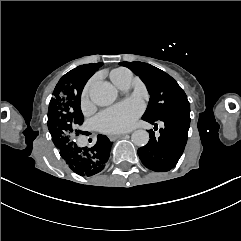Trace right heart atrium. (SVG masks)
I'll return each mask as SVG.
<instances>
[{
    "label": "right heart atrium",
    "instance_id": "obj_1",
    "mask_svg": "<svg viewBox=\"0 0 241 241\" xmlns=\"http://www.w3.org/2000/svg\"><path fill=\"white\" fill-rule=\"evenodd\" d=\"M81 107L84 110H89V108H90V102L87 98V92H84L81 97Z\"/></svg>",
    "mask_w": 241,
    "mask_h": 241
}]
</instances>
